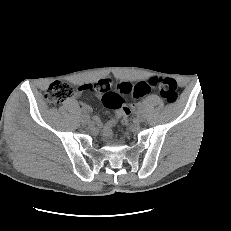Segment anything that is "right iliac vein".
Instances as JSON below:
<instances>
[{
  "label": "right iliac vein",
  "mask_w": 231,
  "mask_h": 231,
  "mask_svg": "<svg viewBox=\"0 0 231 231\" xmlns=\"http://www.w3.org/2000/svg\"><path fill=\"white\" fill-rule=\"evenodd\" d=\"M82 121H83V123H85V124L90 123V117H89V115L84 114V115L82 116Z\"/></svg>",
  "instance_id": "63e3f726"
}]
</instances>
